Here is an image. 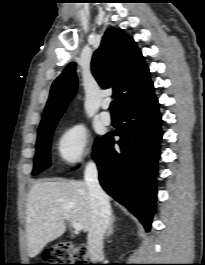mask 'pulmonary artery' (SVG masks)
Instances as JSON below:
<instances>
[{
  "instance_id": "e3ab8cb5",
  "label": "pulmonary artery",
  "mask_w": 205,
  "mask_h": 265,
  "mask_svg": "<svg viewBox=\"0 0 205 265\" xmlns=\"http://www.w3.org/2000/svg\"><path fill=\"white\" fill-rule=\"evenodd\" d=\"M102 108H103V111L101 113V120L102 122L105 124V125H109L112 121L111 119V115L110 113L107 111V109L109 108V103L108 102H104L102 104Z\"/></svg>"
}]
</instances>
